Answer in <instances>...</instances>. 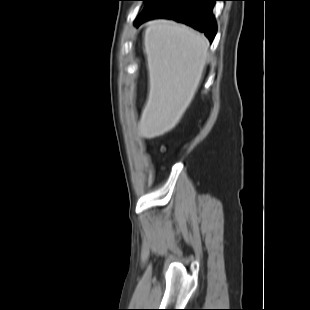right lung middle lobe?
<instances>
[{
    "label": "right lung middle lobe",
    "mask_w": 310,
    "mask_h": 310,
    "mask_svg": "<svg viewBox=\"0 0 310 310\" xmlns=\"http://www.w3.org/2000/svg\"><path fill=\"white\" fill-rule=\"evenodd\" d=\"M143 1H146V4L143 8V9H146V8H149L150 6H152L153 4H155L161 0H143Z\"/></svg>",
    "instance_id": "obj_1"
}]
</instances>
